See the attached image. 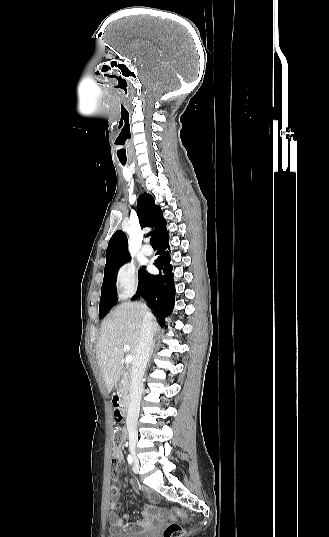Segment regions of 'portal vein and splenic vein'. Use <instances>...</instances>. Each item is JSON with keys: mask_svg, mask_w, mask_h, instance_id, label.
<instances>
[{"mask_svg": "<svg viewBox=\"0 0 329 537\" xmlns=\"http://www.w3.org/2000/svg\"><path fill=\"white\" fill-rule=\"evenodd\" d=\"M124 350L125 351H130V346L128 344H125L124 345ZM133 361V356L132 355H128L125 359V362L126 363H131Z\"/></svg>", "mask_w": 329, "mask_h": 537, "instance_id": "portal-vein-and-splenic-vein-1", "label": "portal vein and splenic vein"}]
</instances>
